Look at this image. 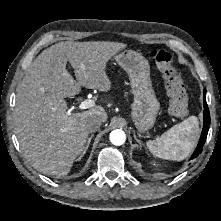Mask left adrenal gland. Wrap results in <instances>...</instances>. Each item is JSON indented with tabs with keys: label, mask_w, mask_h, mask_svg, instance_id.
<instances>
[{
	"label": "left adrenal gland",
	"mask_w": 221,
	"mask_h": 221,
	"mask_svg": "<svg viewBox=\"0 0 221 221\" xmlns=\"http://www.w3.org/2000/svg\"><path fill=\"white\" fill-rule=\"evenodd\" d=\"M134 138H135V140L139 143L140 146L143 145V146L145 147V145H144L139 139L136 138V135H135V134H134ZM145 148H146V147H145Z\"/></svg>",
	"instance_id": "a2214340"
}]
</instances>
